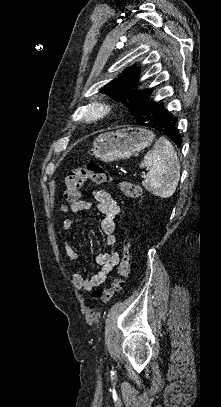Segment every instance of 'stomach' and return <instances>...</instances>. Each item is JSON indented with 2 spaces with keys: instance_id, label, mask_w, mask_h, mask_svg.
Masks as SVG:
<instances>
[{
  "instance_id": "stomach-1",
  "label": "stomach",
  "mask_w": 221,
  "mask_h": 407,
  "mask_svg": "<svg viewBox=\"0 0 221 407\" xmlns=\"http://www.w3.org/2000/svg\"><path fill=\"white\" fill-rule=\"evenodd\" d=\"M155 135L152 131L127 127L98 135L93 142V154L105 162L129 158L151 146Z\"/></svg>"
}]
</instances>
